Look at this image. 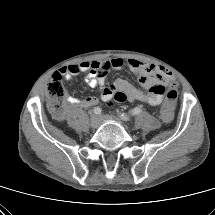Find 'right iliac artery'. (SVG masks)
<instances>
[{"label": "right iliac artery", "instance_id": "obj_1", "mask_svg": "<svg viewBox=\"0 0 215 215\" xmlns=\"http://www.w3.org/2000/svg\"><path fill=\"white\" fill-rule=\"evenodd\" d=\"M93 112H94L96 115H100L101 112H102V110H101V108H99V107H95L94 110H93Z\"/></svg>", "mask_w": 215, "mask_h": 215}]
</instances>
